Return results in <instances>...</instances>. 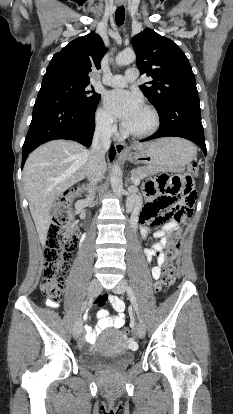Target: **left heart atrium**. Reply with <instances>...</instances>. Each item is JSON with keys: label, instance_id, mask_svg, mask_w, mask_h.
<instances>
[{"label": "left heart atrium", "instance_id": "left-heart-atrium-1", "mask_svg": "<svg viewBox=\"0 0 233 414\" xmlns=\"http://www.w3.org/2000/svg\"><path fill=\"white\" fill-rule=\"evenodd\" d=\"M106 109L123 125L128 124L142 109L141 99L127 90L114 89L104 96Z\"/></svg>", "mask_w": 233, "mask_h": 414}]
</instances>
